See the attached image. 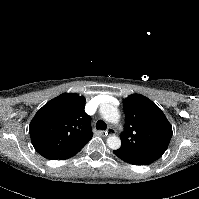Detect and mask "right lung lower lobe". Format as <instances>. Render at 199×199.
Instances as JSON below:
<instances>
[{
  "label": "right lung lower lobe",
  "instance_id": "right-lung-lower-lobe-1",
  "mask_svg": "<svg viewBox=\"0 0 199 199\" xmlns=\"http://www.w3.org/2000/svg\"><path fill=\"white\" fill-rule=\"evenodd\" d=\"M77 153H78V152H77ZM77 153H76V154H77ZM74 155H75V154H74ZM74 155H72V156H74ZM72 156H70V157H72ZM70 157H68V158H70ZM65 159H67V158H65Z\"/></svg>",
  "mask_w": 199,
  "mask_h": 199
}]
</instances>
